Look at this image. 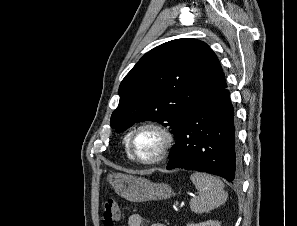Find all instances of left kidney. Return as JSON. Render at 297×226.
Instances as JSON below:
<instances>
[{"label":"left kidney","mask_w":297,"mask_h":226,"mask_svg":"<svg viewBox=\"0 0 297 226\" xmlns=\"http://www.w3.org/2000/svg\"><path fill=\"white\" fill-rule=\"evenodd\" d=\"M187 226H220L219 221L208 220L202 223H190Z\"/></svg>","instance_id":"1"}]
</instances>
